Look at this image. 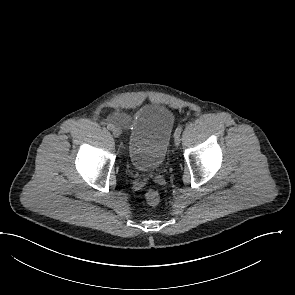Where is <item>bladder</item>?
I'll use <instances>...</instances> for the list:
<instances>
[{
  "instance_id": "bladder-1",
  "label": "bladder",
  "mask_w": 295,
  "mask_h": 295,
  "mask_svg": "<svg viewBox=\"0 0 295 295\" xmlns=\"http://www.w3.org/2000/svg\"><path fill=\"white\" fill-rule=\"evenodd\" d=\"M174 125L173 113L164 105L141 107L128 135V156L140 171L158 170L166 157Z\"/></svg>"
}]
</instances>
